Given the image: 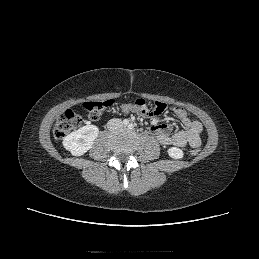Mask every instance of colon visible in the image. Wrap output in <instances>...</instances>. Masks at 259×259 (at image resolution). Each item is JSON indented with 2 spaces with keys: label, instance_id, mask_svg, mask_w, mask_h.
<instances>
[{
  "label": "colon",
  "instance_id": "obj_1",
  "mask_svg": "<svg viewBox=\"0 0 259 259\" xmlns=\"http://www.w3.org/2000/svg\"><path fill=\"white\" fill-rule=\"evenodd\" d=\"M113 103V100L88 101L85 102L83 106L87 111L89 118L95 121L98 120L113 105ZM165 108L166 105L162 103H156L152 108H150L146 100L139 98L133 103L124 104L121 107V110L124 113L137 111L146 116L158 117L164 113ZM81 124L82 118L78 113L72 110H66L58 117L55 123L53 130L54 137L57 139H62L69 132L80 127ZM190 153L192 156H196L199 153L198 147L193 148Z\"/></svg>",
  "mask_w": 259,
  "mask_h": 259
}]
</instances>
